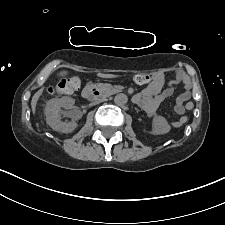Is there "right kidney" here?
Here are the masks:
<instances>
[{
  "instance_id": "right-kidney-1",
  "label": "right kidney",
  "mask_w": 225,
  "mask_h": 225,
  "mask_svg": "<svg viewBox=\"0 0 225 225\" xmlns=\"http://www.w3.org/2000/svg\"><path fill=\"white\" fill-rule=\"evenodd\" d=\"M75 101L70 97H63L58 99H51L47 102L45 108L46 122L55 131H60L62 133H70L74 131L77 127L75 121L72 122H62L60 117V110L62 107L72 108Z\"/></svg>"
}]
</instances>
